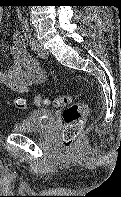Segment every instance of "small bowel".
I'll return each instance as SVG.
<instances>
[{
  "instance_id": "c3829d8e",
  "label": "small bowel",
  "mask_w": 121,
  "mask_h": 197,
  "mask_svg": "<svg viewBox=\"0 0 121 197\" xmlns=\"http://www.w3.org/2000/svg\"><path fill=\"white\" fill-rule=\"evenodd\" d=\"M4 11L0 7V23ZM12 63L0 70V84L9 91L27 93L30 87L45 81L46 74L39 62L27 50L23 36L19 32L12 35V48L10 53Z\"/></svg>"
}]
</instances>
